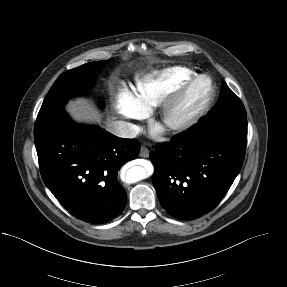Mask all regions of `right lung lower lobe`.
<instances>
[{"label":"right lung lower lobe","mask_w":287,"mask_h":287,"mask_svg":"<svg viewBox=\"0 0 287 287\" xmlns=\"http://www.w3.org/2000/svg\"><path fill=\"white\" fill-rule=\"evenodd\" d=\"M34 139L43 181L71 214L101 224L123 211L127 195L117 173L138 156L137 140L76 124L64 110L36 120Z\"/></svg>","instance_id":"1"}]
</instances>
